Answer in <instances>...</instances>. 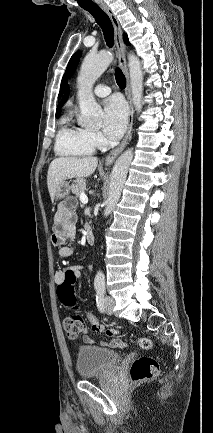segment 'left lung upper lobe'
<instances>
[{
	"label": "left lung upper lobe",
	"mask_w": 213,
	"mask_h": 433,
	"mask_svg": "<svg viewBox=\"0 0 213 433\" xmlns=\"http://www.w3.org/2000/svg\"><path fill=\"white\" fill-rule=\"evenodd\" d=\"M123 38H124V42H125L127 45H129V41H128L127 35H123ZM80 57H81V52H80V51H79V52H76V53L73 54V56L71 57V59H70L68 65H67V69H66V71H65V73H64V75H63V78H62L61 88H60V93H59L58 98H60V97L62 96V94H63V92H64V88H65L66 80H67L68 76L72 73V71H74L75 68L77 67V64H78V62H79Z\"/></svg>",
	"instance_id": "1"
}]
</instances>
